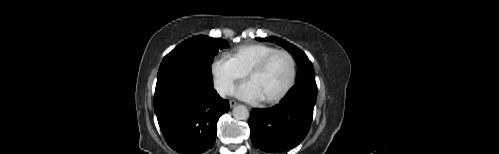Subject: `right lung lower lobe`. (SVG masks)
Masks as SVG:
<instances>
[{"label":"right lung lower lobe","mask_w":499,"mask_h":154,"mask_svg":"<svg viewBox=\"0 0 499 154\" xmlns=\"http://www.w3.org/2000/svg\"><path fill=\"white\" fill-rule=\"evenodd\" d=\"M229 109L202 78L174 79L156 86L154 110L168 145L181 154H200L215 143L217 122Z\"/></svg>","instance_id":"obj_1"}]
</instances>
